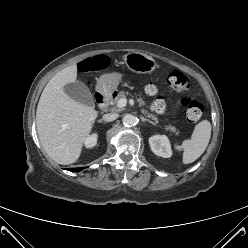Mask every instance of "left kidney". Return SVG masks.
Returning <instances> with one entry per match:
<instances>
[{
  "mask_svg": "<svg viewBox=\"0 0 248 248\" xmlns=\"http://www.w3.org/2000/svg\"><path fill=\"white\" fill-rule=\"evenodd\" d=\"M151 150L157 156L169 158L172 156L170 141L166 135H154L149 138Z\"/></svg>",
  "mask_w": 248,
  "mask_h": 248,
  "instance_id": "5707ae66",
  "label": "left kidney"
}]
</instances>
